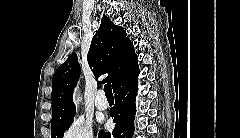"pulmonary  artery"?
Wrapping results in <instances>:
<instances>
[{
    "label": "pulmonary artery",
    "instance_id": "1",
    "mask_svg": "<svg viewBox=\"0 0 240 138\" xmlns=\"http://www.w3.org/2000/svg\"><path fill=\"white\" fill-rule=\"evenodd\" d=\"M95 105L99 110H106L108 108V102L105 98L103 90H99L96 95Z\"/></svg>",
    "mask_w": 240,
    "mask_h": 138
}]
</instances>
